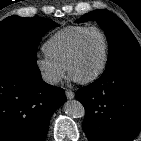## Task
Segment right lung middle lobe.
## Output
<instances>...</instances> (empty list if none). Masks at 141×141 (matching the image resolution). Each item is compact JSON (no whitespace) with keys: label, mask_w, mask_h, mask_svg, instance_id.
Masks as SVG:
<instances>
[{"label":"right lung middle lobe","mask_w":141,"mask_h":141,"mask_svg":"<svg viewBox=\"0 0 141 141\" xmlns=\"http://www.w3.org/2000/svg\"><path fill=\"white\" fill-rule=\"evenodd\" d=\"M57 23L33 17L10 16L0 22V65L25 63L37 65L36 52L43 35Z\"/></svg>","instance_id":"right-lung-middle-lobe-1"}]
</instances>
